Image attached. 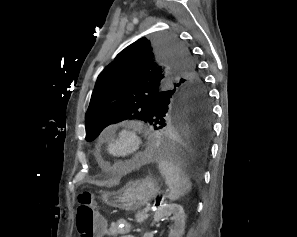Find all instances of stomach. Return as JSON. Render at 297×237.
I'll list each match as a JSON object with an SVG mask.
<instances>
[{
  "label": "stomach",
  "mask_w": 297,
  "mask_h": 237,
  "mask_svg": "<svg viewBox=\"0 0 297 237\" xmlns=\"http://www.w3.org/2000/svg\"><path fill=\"white\" fill-rule=\"evenodd\" d=\"M160 192L157 182L150 176L128 182L122 189L102 195L109 206L125 211H136L153 200Z\"/></svg>",
  "instance_id": "0dacf381"
}]
</instances>
